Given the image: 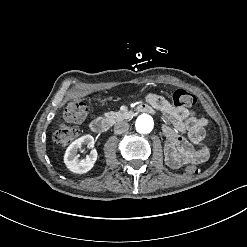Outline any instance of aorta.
<instances>
[{
    "label": "aorta",
    "instance_id": "aorta-1",
    "mask_svg": "<svg viewBox=\"0 0 247 247\" xmlns=\"http://www.w3.org/2000/svg\"><path fill=\"white\" fill-rule=\"evenodd\" d=\"M154 127L153 118L148 114L140 115L136 120V129L141 134H148Z\"/></svg>",
    "mask_w": 247,
    "mask_h": 247
}]
</instances>
